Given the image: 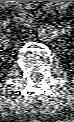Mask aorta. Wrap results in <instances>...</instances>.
<instances>
[{
    "instance_id": "1",
    "label": "aorta",
    "mask_w": 74,
    "mask_h": 122,
    "mask_svg": "<svg viewBox=\"0 0 74 122\" xmlns=\"http://www.w3.org/2000/svg\"><path fill=\"white\" fill-rule=\"evenodd\" d=\"M37 35L40 41L50 42L56 37V28L51 24H42L39 26Z\"/></svg>"
}]
</instances>
